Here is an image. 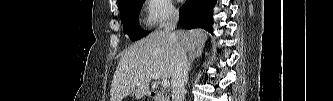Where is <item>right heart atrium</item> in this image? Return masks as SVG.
Instances as JSON below:
<instances>
[{"mask_svg": "<svg viewBox=\"0 0 333 101\" xmlns=\"http://www.w3.org/2000/svg\"><path fill=\"white\" fill-rule=\"evenodd\" d=\"M176 16L170 0L146 1V23L150 26H164Z\"/></svg>", "mask_w": 333, "mask_h": 101, "instance_id": "1", "label": "right heart atrium"}]
</instances>
